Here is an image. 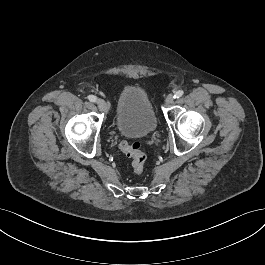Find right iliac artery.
Returning <instances> with one entry per match:
<instances>
[{
    "label": "right iliac artery",
    "mask_w": 265,
    "mask_h": 265,
    "mask_svg": "<svg viewBox=\"0 0 265 265\" xmlns=\"http://www.w3.org/2000/svg\"><path fill=\"white\" fill-rule=\"evenodd\" d=\"M88 99H89V101H91V102H95L96 101V96H94V95H89L88 96Z\"/></svg>",
    "instance_id": "obj_1"
}]
</instances>
